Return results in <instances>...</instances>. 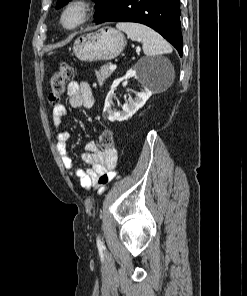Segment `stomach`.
<instances>
[{
	"mask_svg": "<svg viewBox=\"0 0 247 296\" xmlns=\"http://www.w3.org/2000/svg\"><path fill=\"white\" fill-rule=\"evenodd\" d=\"M124 35L111 27L80 35L73 44L75 56L84 62L108 61L116 58L125 48Z\"/></svg>",
	"mask_w": 247,
	"mask_h": 296,
	"instance_id": "1",
	"label": "stomach"
}]
</instances>
